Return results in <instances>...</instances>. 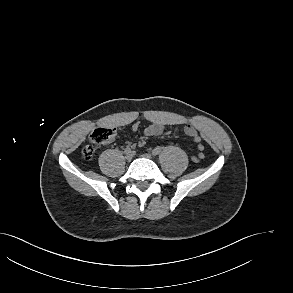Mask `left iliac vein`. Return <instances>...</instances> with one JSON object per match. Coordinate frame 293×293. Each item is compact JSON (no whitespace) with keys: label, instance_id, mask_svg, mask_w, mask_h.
Wrapping results in <instances>:
<instances>
[{"label":"left iliac vein","instance_id":"1","mask_svg":"<svg viewBox=\"0 0 293 293\" xmlns=\"http://www.w3.org/2000/svg\"><path fill=\"white\" fill-rule=\"evenodd\" d=\"M142 157H145V158H151V154H149V153H146V154H143V155H141Z\"/></svg>","mask_w":293,"mask_h":293}]
</instances>
